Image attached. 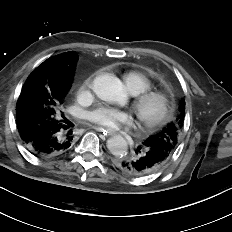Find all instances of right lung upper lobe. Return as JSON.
I'll use <instances>...</instances> for the list:
<instances>
[{
  "label": "right lung upper lobe",
  "instance_id": "right-lung-upper-lobe-1",
  "mask_svg": "<svg viewBox=\"0 0 232 232\" xmlns=\"http://www.w3.org/2000/svg\"><path fill=\"white\" fill-rule=\"evenodd\" d=\"M77 60L78 55L75 51L66 52L47 59L34 71L47 67L52 72L67 73L72 81Z\"/></svg>",
  "mask_w": 232,
  "mask_h": 232
}]
</instances>
